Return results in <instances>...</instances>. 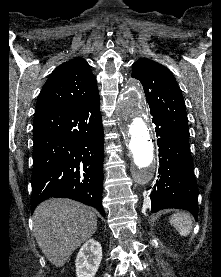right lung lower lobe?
Listing matches in <instances>:
<instances>
[{
    "instance_id": "98d812e1",
    "label": "right lung lower lobe",
    "mask_w": 221,
    "mask_h": 277,
    "mask_svg": "<svg viewBox=\"0 0 221 277\" xmlns=\"http://www.w3.org/2000/svg\"><path fill=\"white\" fill-rule=\"evenodd\" d=\"M99 96L81 105L36 111L31 211L50 197L102 207L104 135Z\"/></svg>"
}]
</instances>
